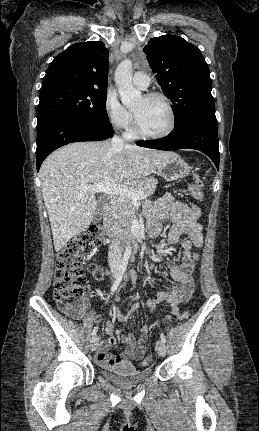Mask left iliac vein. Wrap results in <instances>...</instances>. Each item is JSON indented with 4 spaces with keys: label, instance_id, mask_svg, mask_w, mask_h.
Wrapping results in <instances>:
<instances>
[{
    "label": "left iliac vein",
    "instance_id": "4c4485c4",
    "mask_svg": "<svg viewBox=\"0 0 259 431\" xmlns=\"http://www.w3.org/2000/svg\"><path fill=\"white\" fill-rule=\"evenodd\" d=\"M156 350L157 353L161 356L164 357L166 354V344L164 341L162 340H158L156 343Z\"/></svg>",
    "mask_w": 259,
    "mask_h": 431
}]
</instances>
